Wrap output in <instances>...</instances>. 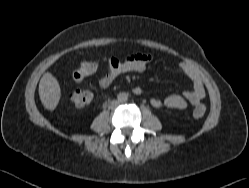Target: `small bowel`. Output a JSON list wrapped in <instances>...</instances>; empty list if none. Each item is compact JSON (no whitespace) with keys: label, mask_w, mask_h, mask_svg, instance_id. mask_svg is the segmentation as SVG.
Returning <instances> with one entry per match:
<instances>
[{"label":"small bowel","mask_w":249,"mask_h":188,"mask_svg":"<svg viewBox=\"0 0 249 188\" xmlns=\"http://www.w3.org/2000/svg\"><path fill=\"white\" fill-rule=\"evenodd\" d=\"M151 61V56L140 53L132 54L124 60L111 57L108 59L106 72L100 79V86L107 88L119 75L126 72H143ZM178 67L191 81L192 89L183 94L168 95L163 99L151 98L150 103L153 107L182 110L187 105H198L205 97V88L197 72L185 63H179ZM135 91L138 92L139 89Z\"/></svg>","instance_id":"1"}]
</instances>
